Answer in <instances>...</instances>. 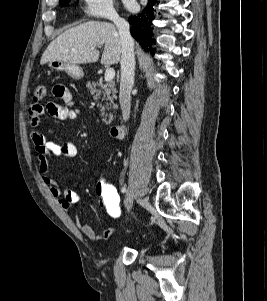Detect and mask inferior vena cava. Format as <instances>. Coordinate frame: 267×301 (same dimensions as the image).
Here are the masks:
<instances>
[{"label":"inferior vena cava","instance_id":"1","mask_svg":"<svg viewBox=\"0 0 267 301\" xmlns=\"http://www.w3.org/2000/svg\"><path fill=\"white\" fill-rule=\"evenodd\" d=\"M112 21L116 25L121 41V81L119 102L122 110L123 120L127 121L130 116L131 109V90L134 85L135 55L134 41L130 34V26L127 21L118 15L112 16Z\"/></svg>","mask_w":267,"mask_h":301}]
</instances>
